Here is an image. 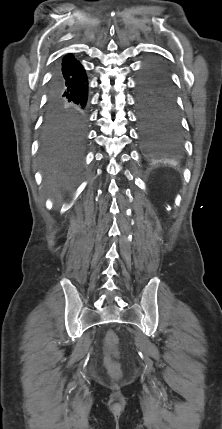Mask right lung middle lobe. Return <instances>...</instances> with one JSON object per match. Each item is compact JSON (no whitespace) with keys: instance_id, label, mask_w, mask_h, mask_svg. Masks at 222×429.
<instances>
[{"instance_id":"1","label":"right lung middle lobe","mask_w":222,"mask_h":429,"mask_svg":"<svg viewBox=\"0 0 222 429\" xmlns=\"http://www.w3.org/2000/svg\"><path fill=\"white\" fill-rule=\"evenodd\" d=\"M65 134L58 129L51 128L44 124L43 142L45 145H55L65 138Z\"/></svg>"}]
</instances>
